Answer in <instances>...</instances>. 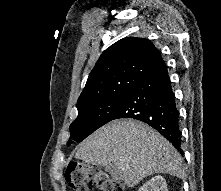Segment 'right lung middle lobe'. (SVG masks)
Wrapping results in <instances>:
<instances>
[{"instance_id":"dd1d6c3e","label":"right lung middle lobe","mask_w":221,"mask_h":191,"mask_svg":"<svg viewBox=\"0 0 221 191\" xmlns=\"http://www.w3.org/2000/svg\"><path fill=\"white\" fill-rule=\"evenodd\" d=\"M129 92L78 109V117L70 125V140L81 142L92 132L113 120Z\"/></svg>"}]
</instances>
